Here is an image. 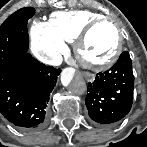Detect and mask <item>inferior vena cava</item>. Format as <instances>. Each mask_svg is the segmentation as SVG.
<instances>
[{
	"instance_id": "602c4592",
	"label": "inferior vena cava",
	"mask_w": 147,
	"mask_h": 147,
	"mask_svg": "<svg viewBox=\"0 0 147 147\" xmlns=\"http://www.w3.org/2000/svg\"><path fill=\"white\" fill-rule=\"evenodd\" d=\"M61 63H62V57L59 56V58L55 62H53L52 65L59 66L61 65Z\"/></svg>"
}]
</instances>
